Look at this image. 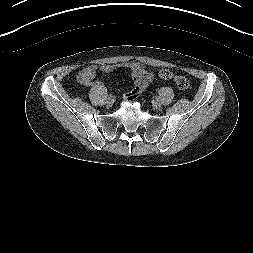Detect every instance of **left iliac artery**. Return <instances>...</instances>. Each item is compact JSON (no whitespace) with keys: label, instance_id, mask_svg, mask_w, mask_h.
Listing matches in <instances>:
<instances>
[{"label":"left iliac artery","instance_id":"1","mask_svg":"<svg viewBox=\"0 0 253 253\" xmlns=\"http://www.w3.org/2000/svg\"><path fill=\"white\" fill-rule=\"evenodd\" d=\"M152 98L155 103H160L162 101V98L160 96H157L156 94H153Z\"/></svg>","mask_w":253,"mask_h":253}]
</instances>
